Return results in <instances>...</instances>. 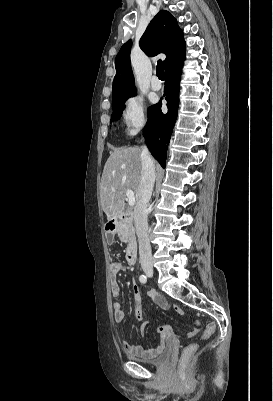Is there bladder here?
<instances>
[{
    "instance_id": "1",
    "label": "bladder",
    "mask_w": 273,
    "mask_h": 401,
    "mask_svg": "<svg viewBox=\"0 0 273 401\" xmlns=\"http://www.w3.org/2000/svg\"><path fill=\"white\" fill-rule=\"evenodd\" d=\"M172 357V353L170 349H166L158 358L155 360H143L134 356H131L130 358L136 362H139L141 364L149 365V366H154V367H160L166 365Z\"/></svg>"
}]
</instances>
